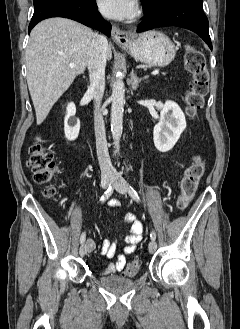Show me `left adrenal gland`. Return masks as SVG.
<instances>
[{
  "instance_id": "1",
  "label": "left adrenal gland",
  "mask_w": 240,
  "mask_h": 329,
  "mask_svg": "<svg viewBox=\"0 0 240 329\" xmlns=\"http://www.w3.org/2000/svg\"><path fill=\"white\" fill-rule=\"evenodd\" d=\"M146 78H147L146 76L145 77L138 78L137 75H136V73L132 71L131 72V87H132V89L133 90H136L137 87H138V85H139V83L141 81H143L144 79H146Z\"/></svg>"
}]
</instances>
